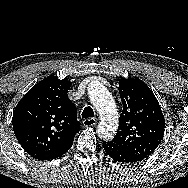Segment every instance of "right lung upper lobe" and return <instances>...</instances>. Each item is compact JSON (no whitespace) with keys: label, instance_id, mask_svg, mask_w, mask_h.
<instances>
[{"label":"right lung upper lobe","instance_id":"right-lung-upper-lobe-1","mask_svg":"<svg viewBox=\"0 0 188 188\" xmlns=\"http://www.w3.org/2000/svg\"><path fill=\"white\" fill-rule=\"evenodd\" d=\"M70 80L49 76L19 101L12 118L13 130L23 149L33 158L71 148L80 131L76 106L68 98Z\"/></svg>","mask_w":188,"mask_h":188}]
</instances>
